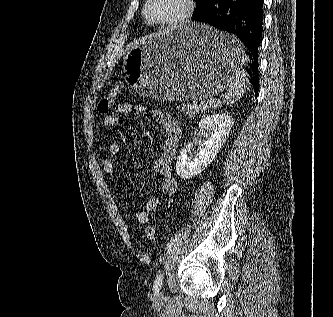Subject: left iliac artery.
<instances>
[{"instance_id":"left-iliac-artery-1","label":"left iliac artery","mask_w":333,"mask_h":317,"mask_svg":"<svg viewBox=\"0 0 333 317\" xmlns=\"http://www.w3.org/2000/svg\"><path fill=\"white\" fill-rule=\"evenodd\" d=\"M163 283V274H158L153 284V289L159 291Z\"/></svg>"}]
</instances>
